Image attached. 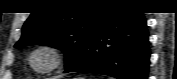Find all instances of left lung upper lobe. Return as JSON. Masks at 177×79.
<instances>
[{
	"instance_id": "1",
	"label": "left lung upper lobe",
	"mask_w": 177,
	"mask_h": 79,
	"mask_svg": "<svg viewBox=\"0 0 177 79\" xmlns=\"http://www.w3.org/2000/svg\"><path fill=\"white\" fill-rule=\"evenodd\" d=\"M113 1H89L86 8L70 11L44 10L32 13L15 47L48 45L65 53V67L79 55L87 39Z\"/></svg>"
}]
</instances>
